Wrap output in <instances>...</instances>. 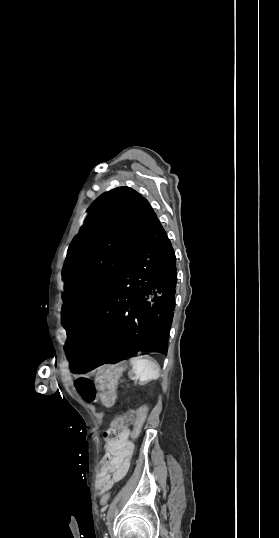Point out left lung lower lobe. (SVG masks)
<instances>
[{
  "label": "left lung lower lobe",
  "mask_w": 279,
  "mask_h": 538,
  "mask_svg": "<svg viewBox=\"0 0 279 538\" xmlns=\"http://www.w3.org/2000/svg\"><path fill=\"white\" fill-rule=\"evenodd\" d=\"M175 255L158 218L90 319L67 334L70 370L85 373L131 352L167 354Z\"/></svg>",
  "instance_id": "obj_1"
}]
</instances>
